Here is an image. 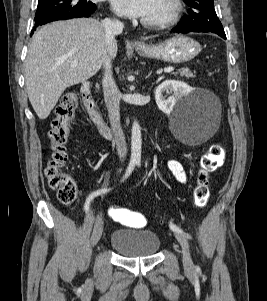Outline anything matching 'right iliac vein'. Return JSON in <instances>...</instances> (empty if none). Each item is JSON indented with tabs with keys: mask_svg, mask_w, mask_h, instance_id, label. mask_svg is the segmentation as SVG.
Listing matches in <instances>:
<instances>
[{
	"mask_svg": "<svg viewBox=\"0 0 267 301\" xmlns=\"http://www.w3.org/2000/svg\"><path fill=\"white\" fill-rule=\"evenodd\" d=\"M102 232H103V218L102 216H99L96 219L92 238H91V243L93 246L97 245V243L99 242L102 236Z\"/></svg>",
	"mask_w": 267,
	"mask_h": 301,
	"instance_id": "right-iliac-vein-1",
	"label": "right iliac vein"
}]
</instances>
